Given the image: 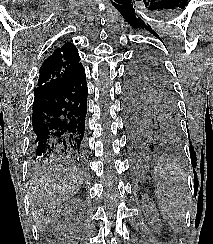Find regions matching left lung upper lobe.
<instances>
[{
  "instance_id": "left-lung-upper-lobe-1",
  "label": "left lung upper lobe",
  "mask_w": 213,
  "mask_h": 244,
  "mask_svg": "<svg viewBox=\"0 0 213 244\" xmlns=\"http://www.w3.org/2000/svg\"><path fill=\"white\" fill-rule=\"evenodd\" d=\"M124 106L144 118L161 139L180 135L175 90L162 63L150 53H140L128 66Z\"/></svg>"
}]
</instances>
